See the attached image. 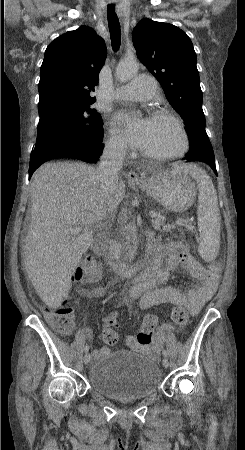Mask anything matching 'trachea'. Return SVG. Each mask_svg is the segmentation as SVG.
Here are the masks:
<instances>
[{"instance_id":"3493384b","label":"trachea","mask_w":245,"mask_h":450,"mask_svg":"<svg viewBox=\"0 0 245 450\" xmlns=\"http://www.w3.org/2000/svg\"><path fill=\"white\" fill-rule=\"evenodd\" d=\"M108 26L110 31L111 43L113 49L116 51L121 43V29L119 20L115 14V5L110 4L107 8Z\"/></svg>"}]
</instances>
